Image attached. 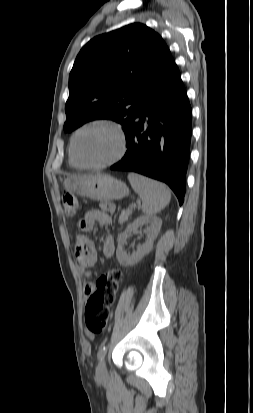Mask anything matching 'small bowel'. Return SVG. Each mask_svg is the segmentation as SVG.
Returning <instances> with one entry per match:
<instances>
[{
  "label": "small bowel",
  "mask_w": 253,
  "mask_h": 413,
  "mask_svg": "<svg viewBox=\"0 0 253 413\" xmlns=\"http://www.w3.org/2000/svg\"><path fill=\"white\" fill-rule=\"evenodd\" d=\"M115 211V205L110 202L102 203L101 209L89 210L84 218L79 222L80 232L75 237V255L80 274L85 279L84 293L86 296L94 290L92 267L97 261V251L94 243L87 237L86 232L90 231L97 223L104 228L111 224V214ZM115 251L114 239L106 235L102 242L101 252L105 258L113 256Z\"/></svg>",
  "instance_id": "1"
}]
</instances>
